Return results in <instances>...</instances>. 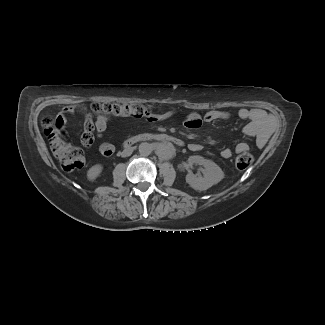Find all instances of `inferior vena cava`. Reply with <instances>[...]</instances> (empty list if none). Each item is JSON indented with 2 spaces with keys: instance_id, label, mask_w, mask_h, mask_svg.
Returning <instances> with one entry per match:
<instances>
[{
  "instance_id": "inferior-vena-cava-1",
  "label": "inferior vena cava",
  "mask_w": 325,
  "mask_h": 325,
  "mask_svg": "<svg viewBox=\"0 0 325 325\" xmlns=\"http://www.w3.org/2000/svg\"><path fill=\"white\" fill-rule=\"evenodd\" d=\"M133 152V149L132 148H127V149H124L123 152H122V156L123 157H127V156H130Z\"/></svg>"
}]
</instances>
